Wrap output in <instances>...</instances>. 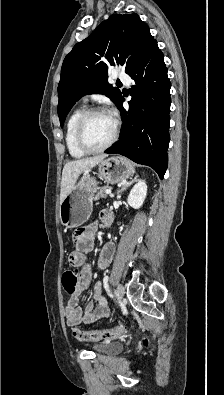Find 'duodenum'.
Returning a JSON list of instances; mask_svg holds the SVG:
<instances>
[{
  "instance_id": "1",
  "label": "duodenum",
  "mask_w": 224,
  "mask_h": 395,
  "mask_svg": "<svg viewBox=\"0 0 224 395\" xmlns=\"http://www.w3.org/2000/svg\"><path fill=\"white\" fill-rule=\"evenodd\" d=\"M111 219H112V214L109 211H106L104 214V222L103 223L108 224Z\"/></svg>"
}]
</instances>
